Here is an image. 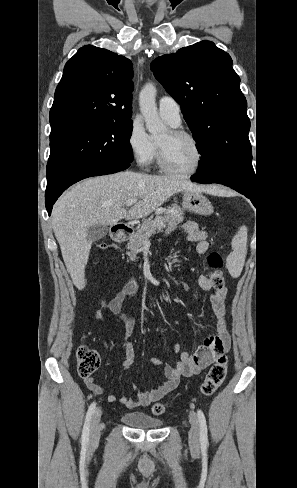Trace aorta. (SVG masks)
<instances>
[{
  "label": "aorta",
  "mask_w": 297,
  "mask_h": 488,
  "mask_svg": "<svg viewBox=\"0 0 297 488\" xmlns=\"http://www.w3.org/2000/svg\"><path fill=\"white\" fill-rule=\"evenodd\" d=\"M155 98L156 87L152 83H147L139 93V106L146 128L152 135H158L166 129L165 124L158 116Z\"/></svg>",
  "instance_id": "aorta-1"
}]
</instances>
